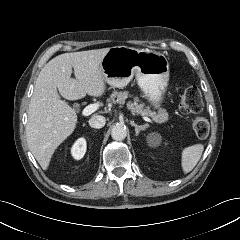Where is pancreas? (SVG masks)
Returning a JSON list of instances; mask_svg holds the SVG:
<instances>
[{"mask_svg":"<svg viewBox=\"0 0 240 240\" xmlns=\"http://www.w3.org/2000/svg\"><path fill=\"white\" fill-rule=\"evenodd\" d=\"M128 98V92H117L114 91L111 94V100L114 103L124 104L125 100ZM139 99L136 97L134 98V102H128L127 107L131 109L133 113H136L137 115L141 116H149L153 120L159 123H164L168 120V114L162 110H160L158 113L151 111L149 107H144L143 103H138Z\"/></svg>","mask_w":240,"mask_h":240,"instance_id":"cf45deb5","label":"pancreas"}]
</instances>
